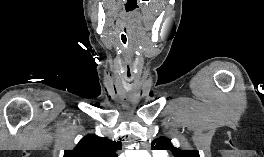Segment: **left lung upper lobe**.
Returning a JSON list of instances; mask_svg holds the SVG:
<instances>
[{"label":"left lung upper lobe","instance_id":"5c2ea615","mask_svg":"<svg viewBox=\"0 0 264 157\" xmlns=\"http://www.w3.org/2000/svg\"><path fill=\"white\" fill-rule=\"evenodd\" d=\"M155 149L172 150L176 157H200L197 150H181L173 147L170 140L165 137L159 138V140L155 144Z\"/></svg>","mask_w":264,"mask_h":157}]
</instances>
